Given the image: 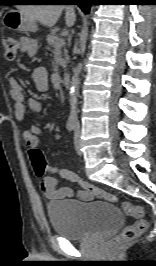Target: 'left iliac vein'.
<instances>
[{
  "instance_id": "4c4485c4",
  "label": "left iliac vein",
  "mask_w": 156,
  "mask_h": 266,
  "mask_svg": "<svg viewBox=\"0 0 156 266\" xmlns=\"http://www.w3.org/2000/svg\"><path fill=\"white\" fill-rule=\"evenodd\" d=\"M80 136H81V128H80V123L77 122L75 133H74V146L75 150L78 155H81V146H80Z\"/></svg>"
}]
</instances>
